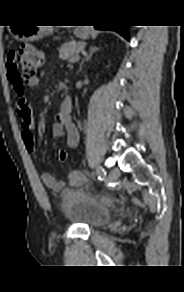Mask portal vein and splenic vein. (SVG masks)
<instances>
[{
	"mask_svg": "<svg viewBox=\"0 0 184 292\" xmlns=\"http://www.w3.org/2000/svg\"><path fill=\"white\" fill-rule=\"evenodd\" d=\"M78 59H79V56H74V57L70 58V59H69V64H68V66H69L71 63L76 62Z\"/></svg>",
	"mask_w": 184,
	"mask_h": 292,
	"instance_id": "portal-vein-and-splenic-vein-1",
	"label": "portal vein and splenic vein"
}]
</instances>
